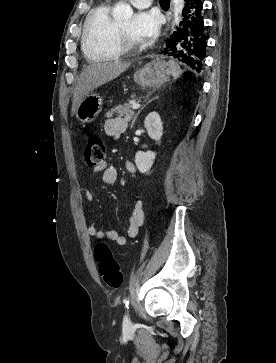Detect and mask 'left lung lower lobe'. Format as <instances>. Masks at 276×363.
I'll use <instances>...</instances> for the list:
<instances>
[{
  "mask_svg": "<svg viewBox=\"0 0 276 363\" xmlns=\"http://www.w3.org/2000/svg\"><path fill=\"white\" fill-rule=\"evenodd\" d=\"M202 5V0H185L180 27L171 39L166 41L167 46L164 50L166 54L197 72L202 69L206 48L204 23L201 17Z\"/></svg>",
  "mask_w": 276,
  "mask_h": 363,
  "instance_id": "obj_1",
  "label": "left lung lower lobe"
}]
</instances>
